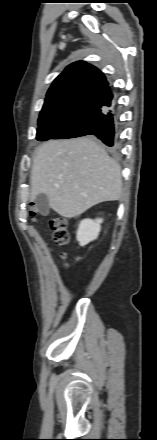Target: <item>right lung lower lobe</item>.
Returning a JSON list of instances; mask_svg holds the SVG:
<instances>
[{
  "mask_svg": "<svg viewBox=\"0 0 157 440\" xmlns=\"http://www.w3.org/2000/svg\"><path fill=\"white\" fill-rule=\"evenodd\" d=\"M115 128L116 118L114 109L103 112L90 126H88V129L91 130L93 135L110 147L115 145Z\"/></svg>",
  "mask_w": 157,
  "mask_h": 440,
  "instance_id": "right-lung-lower-lobe-1",
  "label": "right lung lower lobe"
}]
</instances>
